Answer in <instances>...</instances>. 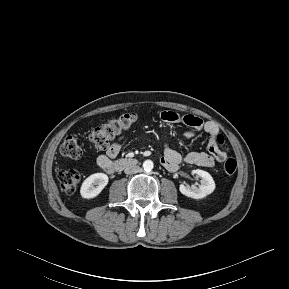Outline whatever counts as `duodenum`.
I'll use <instances>...</instances> for the list:
<instances>
[{
  "instance_id": "410a0bca",
  "label": "duodenum",
  "mask_w": 289,
  "mask_h": 289,
  "mask_svg": "<svg viewBox=\"0 0 289 289\" xmlns=\"http://www.w3.org/2000/svg\"><path fill=\"white\" fill-rule=\"evenodd\" d=\"M137 164V160L133 158H122L112 162L105 170L108 172L120 171L127 167H131Z\"/></svg>"
}]
</instances>
